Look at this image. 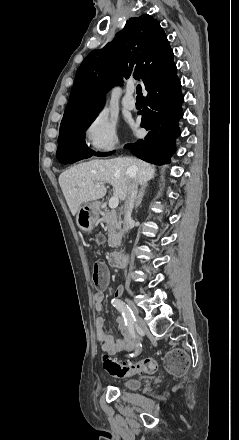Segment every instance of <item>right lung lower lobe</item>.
<instances>
[{
    "label": "right lung lower lobe",
    "mask_w": 239,
    "mask_h": 440,
    "mask_svg": "<svg viewBox=\"0 0 239 440\" xmlns=\"http://www.w3.org/2000/svg\"><path fill=\"white\" fill-rule=\"evenodd\" d=\"M174 64L165 73L151 80L146 86L148 94L143 98L144 109L141 111V127L148 131L144 140L134 144H126L135 156L153 163L167 164L175 152V139L180 135L178 121L182 118L181 105L184 97L181 94V83L176 75ZM148 106V107H146ZM110 153H98L106 156ZM94 155L86 144L67 147L56 156L59 162L74 163Z\"/></svg>",
    "instance_id": "1"
}]
</instances>
